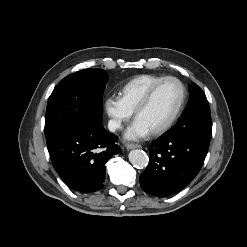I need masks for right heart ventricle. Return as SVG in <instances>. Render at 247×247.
<instances>
[{"label": "right heart ventricle", "mask_w": 247, "mask_h": 247, "mask_svg": "<svg viewBox=\"0 0 247 247\" xmlns=\"http://www.w3.org/2000/svg\"><path fill=\"white\" fill-rule=\"evenodd\" d=\"M163 78L165 76L153 74L135 76L121 86L120 99L130 112H134L148 90Z\"/></svg>", "instance_id": "right-heart-ventricle-1"}]
</instances>
